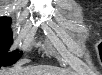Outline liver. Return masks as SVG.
Returning <instances> with one entry per match:
<instances>
[{"label": "liver", "mask_w": 102, "mask_h": 75, "mask_svg": "<svg viewBox=\"0 0 102 75\" xmlns=\"http://www.w3.org/2000/svg\"><path fill=\"white\" fill-rule=\"evenodd\" d=\"M54 67L47 65L32 66L26 69L1 72L2 75H63Z\"/></svg>", "instance_id": "1"}]
</instances>
